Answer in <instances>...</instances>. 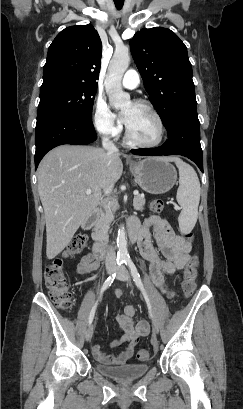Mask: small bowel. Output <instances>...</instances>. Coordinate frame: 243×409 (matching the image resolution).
Returning a JSON list of instances; mask_svg holds the SVG:
<instances>
[{"mask_svg":"<svg viewBox=\"0 0 243 409\" xmlns=\"http://www.w3.org/2000/svg\"><path fill=\"white\" fill-rule=\"evenodd\" d=\"M129 228L137 230L139 233V250L143 258L150 264V275L154 284L164 294L171 297L172 293L167 291L164 286V275L174 274L186 266L192 249L191 244L180 235L175 234L166 220L156 215L146 219L143 226H140L136 219H131ZM152 234L156 240L157 248L153 244ZM99 267L100 263L94 255L86 254L77 264L76 273L82 276L97 270ZM122 294L123 291L120 288L114 291L116 298L121 297ZM133 314L134 306L127 304L123 313L117 317L123 334L110 343L112 348L127 344L124 351L117 355H109L102 351L99 344L95 343L91 350L97 361L105 364L122 365L133 356L139 337L147 333L146 323L140 321L135 325Z\"/></svg>","mask_w":243,"mask_h":409,"instance_id":"c3829d8e","label":"small bowel"}]
</instances>
